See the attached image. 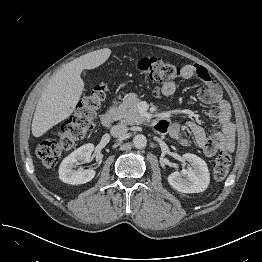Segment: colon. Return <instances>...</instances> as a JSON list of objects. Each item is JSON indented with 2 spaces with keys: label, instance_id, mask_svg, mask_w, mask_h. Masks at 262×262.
Returning <instances> with one entry per match:
<instances>
[{
  "label": "colon",
  "instance_id": "obj_1",
  "mask_svg": "<svg viewBox=\"0 0 262 262\" xmlns=\"http://www.w3.org/2000/svg\"><path fill=\"white\" fill-rule=\"evenodd\" d=\"M137 71L143 80L155 84L153 93L159 96L163 85L176 80L180 68L157 57H145L137 62ZM105 89L98 86L82 97L75 114L67 121L57 137L39 140L36 153L47 166L55 165L60 157L74 144L94 129L96 112L104 98ZM232 156L227 151L220 152L213 163L214 177L224 179L230 169Z\"/></svg>",
  "mask_w": 262,
  "mask_h": 262
}]
</instances>
